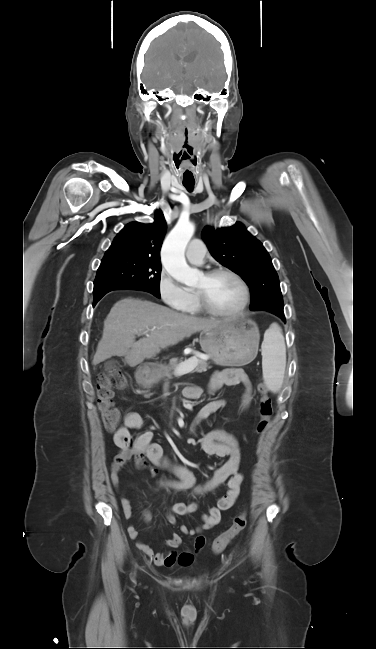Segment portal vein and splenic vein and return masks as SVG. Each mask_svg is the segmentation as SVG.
I'll return each instance as SVG.
<instances>
[{
	"instance_id": "1",
	"label": "portal vein and splenic vein",
	"mask_w": 376,
	"mask_h": 649,
	"mask_svg": "<svg viewBox=\"0 0 376 649\" xmlns=\"http://www.w3.org/2000/svg\"><path fill=\"white\" fill-rule=\"evenodd\" d=\"M153 329H155V327ZM143 334H145L147 336L148 332H144ZM206 359H207V357H206ZM196 365H197V358L193 357V358L183 362L182 364H180L176 368L175 373L178 374V375L188 373V372L192 371L195 368Z\"/></svg>"
}]
</instances>
